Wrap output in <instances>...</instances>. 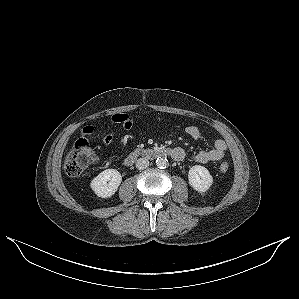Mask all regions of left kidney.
<instances>
[{"label":"left kidney","mask_w":299,"mask_h":299,"mask_svg":"<svg viewBox=\"0 0 299 299\" xmlns=\"http://www.w3.org/2000/svg\"><path fill=\"white\" fill-rule=\"evenodd\" d=\"M188 180L191 187L200 193L206 192L213 183V177L209 171L200 165H195L190 168Z\"/></svg>","instance_id":"left-kidney-1"}]
</instances>
